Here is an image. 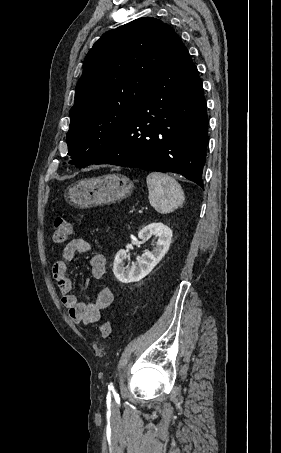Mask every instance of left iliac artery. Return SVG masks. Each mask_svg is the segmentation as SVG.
Here are the masks:
<instances>
[{
	"label": "left iliac artery",
	"instance_id": "left-iliac-artery-1",
	"mask_svg": "<svg viewBox=\"0 0 281 453\" xmlns=\"http://www.w3.org/2000/svg\"><path fill=\"white\" fill-rule=\"evenodd\" d=\"M108 389L114 391V387H113L112 383L110 385H108Z\"/></svg>",
	"mask_w": 281,
	"mask_h": 453
}]
</instances>
